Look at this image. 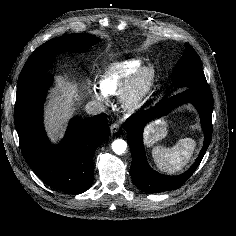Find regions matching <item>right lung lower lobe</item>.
Segmentation results:
<instances>
[{"mask_svg":"<svg viewBox=\"0 0 236 236\" xmlns=\"http://www.w3.org/2000/svg\"><path fill=\"white\" fill-rule=\"evenodd\" d=\"M53 81L41 73L18 82L15 126L26 163L49 186L71 194H80L92 184L93 155L109 137L105 114L92 118H72L58 147L47 139L43 121V103Z\"/></svg>","mask_w":236,"mask_h":236,"instance_id":"1","label":"right lung lower lobe"}]
</instances>
